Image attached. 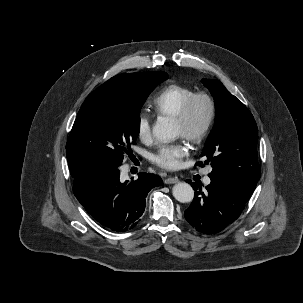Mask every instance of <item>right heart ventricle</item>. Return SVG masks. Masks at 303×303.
Wrapping results in <instances>:
<instances>
[{"mask_svg": "<svg viewBox=\"0 0 303 303\" xmlns=\"http://www.w3.org/2000/svg\"><path fill=\"white\" fill-rule=\"evenodd\" d=\"M194 93L192 88L180 84H169L155 97L154 110L158 115L174 118L185 101Z\"/></svg>", "mask_w": 303, "mask_h": 303, "instance_id": "e07e8e85", "label": "right heart ventricle"}]
</instances>
